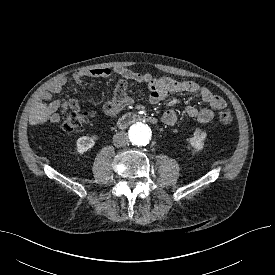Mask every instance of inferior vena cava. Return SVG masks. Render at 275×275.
I'll return each mask as SVG.
<instances>
[{"label":"inferior vena cava","instance_id":"inferior-vena-cava-1","mask_svg":"<svg viewBox=\"0 0 275 275\" xmlns=\"http://www.w3.org/2000/svg\"><path fill=\"white\" fill-rule=\"evenodd\" d=\"M113 143L116 147H124L129 143V138L127 133L121 131L114 135Z\"/></svg>","mask_w":275,"mask_h":275}]
</instances>
